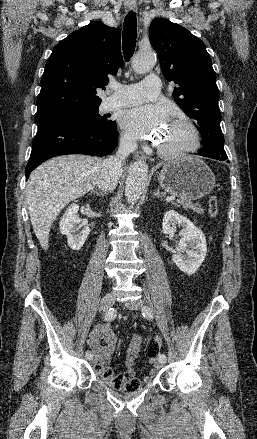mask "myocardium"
Instances as JSON below:
<instances>
[{"mask_svg":"<svg viewBox=\"0 0 257 439\" xmlns=\"http://www.w3.org/2000/svg\"><path fill=\"white\" fill-rule=\"evenodd\" d=\"M171 124L180 125V126H184L185 128H187L190 132V135H191V144L187 147L175 149V150H170V149H166L164 147L158 146L157 151H158L160 156H162L166 159H179V158L186 157V156L196 152L200 148V145H201L200 133H199L197 127L191 121H189L187 119H183V118H178V119H174L171 122Z\"/></svg>","mask_w":257,"mask_h":439,"instance_id":"1","label":"myocardium"}]
</instances>
